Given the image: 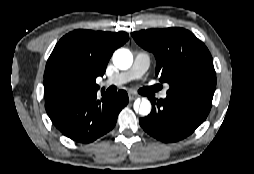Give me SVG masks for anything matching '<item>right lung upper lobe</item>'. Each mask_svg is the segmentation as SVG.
Listing matches in <instances>:
<instances>
[{
    "label": "right lung upper lobe",
    "instance_id": "1",
    "mask_svg": "<svg viewBox=\"0 0 254 174\" xmlns=\"http://www.w3.org/2000/svg\"><path fill=\"white\" fill-rule=\"evenodd\" d=\"M125 32L111 33L78 29L63 36L47 60L44 92L61 76H71L98 89L96 78L103 76L115 49L128 41Z\"/></svg>",
    "mask_w": 254,
    "mask_h": 174
}]
</instances>
